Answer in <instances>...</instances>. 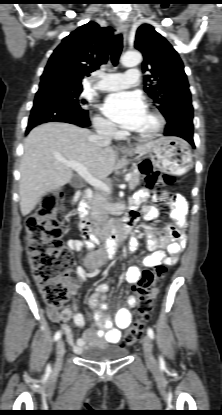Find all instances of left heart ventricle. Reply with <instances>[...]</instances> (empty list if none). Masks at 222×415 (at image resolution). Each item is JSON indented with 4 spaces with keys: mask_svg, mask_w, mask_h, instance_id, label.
Returning <instances> with one entry per match:
<instances>
[{
    "mask_svg": "<svg viewBox=\"0 0 222 415\" xmlns=\"http://www.w3.org/2000/svg\"><path fill=\"white\" fill-rule=\"evenodd\" d=\"M155 125V119L147 111H145L138 124L132 129V131L138 133H148L154 129Z\"/></svg>",
    "mask_w": 222,
    "mask_h": 415,
    "instance_id": "b2bd125f",
    "label": "left heart ventricle"
}]
</instances>
